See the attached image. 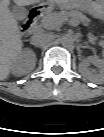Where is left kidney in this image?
<instances>
[{"label":"left kidney","instance_id":"left-kidney-1","mask_svg":"<svg viewBox=\"0 0 104 137\" xmlns=\"http://www.w3.org/2000/svg\"><path fill=\"white\" fill-rule=\"evenodd\" d=\"M89 63H92L99 68H103L104 66V61L102 59H99L97 56H90L86 60L80 63L81 70L85 71Z\"/></svg>","mask_w":104,"mask_h":137}]
</instances>
